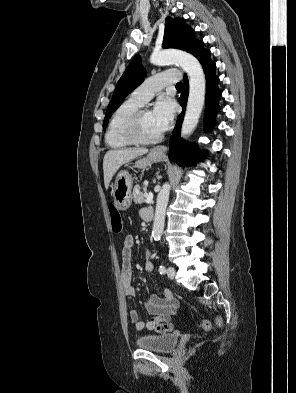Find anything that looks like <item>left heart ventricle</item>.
<instances>
[{
	"instance_id": "obj_1",
	"label": "left heart ventricle",
	"mask_w": 296,
	"mask_h": 393,
	"mask_svg": "<svg viewBox=\"0 0 296 393\" xmlns=\"http://www.w3.org/2000/svg\"><path fill=\"white\" fill-rule=\"evenodd\" d=\"M141 134L145 138H152L160 134L155 127L150 111H145L141 118Z\"/></svg>"
}]
</instances>
